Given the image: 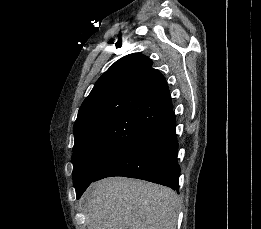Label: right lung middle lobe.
<instances>
[{
  "label": "right lung middle lobe",
  "mask_w": 261,
  "mask_h": 229,
  "mask_svg": "<svg viewBox=\"0 0 261 229\" xmlns=\"http://www.w3.org/2000/svg\"><path fill=\"white\" fill-rule=\"evenodd\" d=\"M150 131L137 133V140ZM130 147L112 146L107 144L83 143L73 147V182L79 198L94 178L108 165L125 153Z\"/></svg>",
  "instance_id": "right-lung-middle-lobe-1"
}]
</instances>
